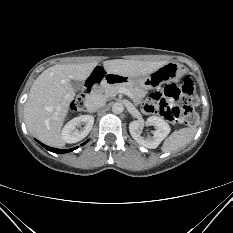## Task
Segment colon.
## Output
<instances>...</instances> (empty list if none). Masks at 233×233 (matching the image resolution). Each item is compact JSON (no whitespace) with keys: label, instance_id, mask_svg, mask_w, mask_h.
Segmentation results:
<instances>
[{"label":"colon","instance_id":"colon-1","mask_svg":"<svg viewBox=\"0 0 233 233\" xmlns=\"http://www.w3.org/2000/svg\"><path fill=\"white\" fill-rule=\"evenodd\" d=\"M84 100L85 93L78 94L71 103V109L82 110ZM196 101L194 85L190 79L185 78L180 87L176 84H167L163 91H153L149 94L144 110L147 113L159 114L172 123L195 126L198 123V115L194 110Z\"/></svg>","mask_w":233,"mask_h":233}]
</instances>
